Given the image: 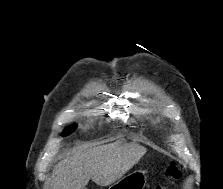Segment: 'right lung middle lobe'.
I'll list each match as a JSON object with an SVG mask.
<instances>
[{
    "label": "right lung middle lobe",
    "instance_id": "right-lung-middle-lobe-1",
    "mask_svg": "<svg viewBox=\"0 0 223 189\" xmlns=\"http://www.w3.org/2000/svg\"><path fill=\"white\" fill-rule=\"evenodd\" d=\"M76 129V126H71V127H67L64 131H63V136H67L69 134H71L72 132H74Z\"/></svg>",
    "mask_w": 223,
    "mask_h": 189
}]
</instances>
